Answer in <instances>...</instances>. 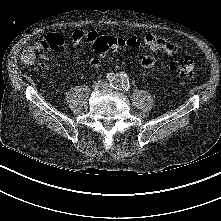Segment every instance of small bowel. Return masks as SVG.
Here are the masks:
<instances>
[{
	"label": "small bowel",
	"mask_w": 221,
	"mask_h": 221,
	"mask_svg": "<svg viewBox=\"0 0 221 221\" xmlns=\"http://www.w3.org/2000/svg\"><path fill=\"white\" fill-rule=\"evenodd\" d=\"M66 33H52L47 35L43 39H39L35 42L34 47L38 52H43L44 50H50L55 47L61 46L64 43V36ZM71 41L74 45L81 43H92L96 41L100 36L95 31H82L76 30L70 35ZM144 44L147 48V53L140 59V65L149 69L152 68L156 63L155 54L157 52H165L167 54H174L178 51V46L176 43L159 37L153 33H147L144 36ZM42 62L39 64L41 70H48L50 64V58L45 54H41ZM88 65L92 69H98L101 66V59L99 57H92L88 60Z\"/></svg>",
	"instance_id": "small-bowel-1"
}]
</instances>
